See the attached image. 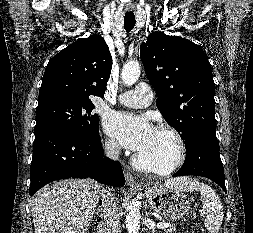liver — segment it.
Listing matches in <instances>:
<instances>
[{"label":"liver","instance_id":"1","mask_svg":"<svg viewBox=\"0 0 253 233\" xmlns=\"http://www.w3.org/2000/svg\"><path fill=\"white\" fill-rule=\"evenodd\" d=\"M102 190L90 179L61 180L43 188L32 199L35 233H86Z\"/></svg>","mask_w":253,"mask_h":233}]
</instances>
